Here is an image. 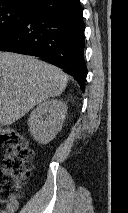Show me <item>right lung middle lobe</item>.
I'll return each instance as SVG.
<instances>
[{"mask_svg": "<svg viewBox=\"0 0 128 213\" xmlns=\"http://www.w3.org/2000/svg\"><path fill=\"white\" fill-rule=\"evenodd\" d=\"M30 10V7L16 5L0 7V41L21 26Z\"/></svg>", "mask_w": 128, "mask_h": 213, "instance_id": "dd1d6c3e", "label": "right lung middle lobe"}]
</instances>
